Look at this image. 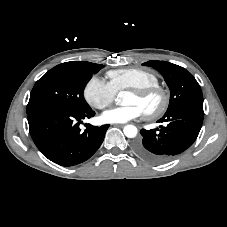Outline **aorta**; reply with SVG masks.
Listing matches in <instances>:
<instances>
[{
	"label": "aorta",
	"mask_w": 227,
	"mask_h": 227,
	"mask_svg": "<svg viewBox=\"0 0 227 227\" xmlns=\"http://www.w3.org/2000/svg\"><path fill=\"white\" fill-rule=\"evenodd\" d=\"M123 132L126 137L134 138V137H136L138 130H137L136 126H134V125H126L123 129Z\"/></svg>",
	"instance_id": "762f6f07"
}]
</instances>
